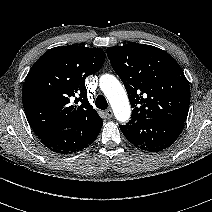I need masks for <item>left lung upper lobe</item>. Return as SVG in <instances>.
I'll use <instances>...</instances> for the list:
<instances>
[{
	"label": "left lung upper lobe",
	"mask_w": 212,
	"mask_h": 212,
	"mask_svg": "<svg viewBox=\"0 0 212 212\" xmlns=\"http://www.w3.org/2000/svg\"><path fill=\"white\" fill-rule=\"evenodd\" d=\"M133 108L129 123L141 118L186 121L190 87L180 65L165 51L138 43L108 47Z\"/></svg>",
	"instance_id": "obj_1"
}]
</instances>
